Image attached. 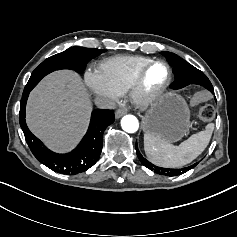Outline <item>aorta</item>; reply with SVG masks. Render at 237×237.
<instances>
[{
    "mask_svg": "<svg viewBox=\"0 0 237 237\" xmlns=\"http://www.w3.org/2000/svg\"><path fill=\"white\" fill-rule=\"evenodd\" d=\"M121 127L125 132L133 134L139 129V121L133 115H126L121 120Z\"/></svg>",
    "mask_w": 237,
    "mask_h": 237,
    "instance_id": "762f6f07",
    "label": "aorta"
}]
</instances>
